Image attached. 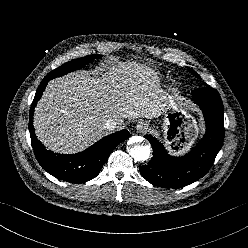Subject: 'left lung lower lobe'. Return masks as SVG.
<instances>
[{"instance_id": "0a47b994", "label": "left lung lower lobe", "mask_w": 248, "mask_h": 248, "mask_svg": "<svg viewBox=\"0 0 248 248\" xmlns=\"http://www.w3.org/2000/svg\"><path fill=\"white\" fill-rule=\"evenodd\" d=\"M193 101L204 114L206 133L188 154L174 157L167 153L155 137L146 135L153 147V157L147 165L139 166L141 175L151 184L179 188L203 177L212 166L224 138L223 104L219 93L211 87L192 92Z\"/></svg>"}]
</instances>
